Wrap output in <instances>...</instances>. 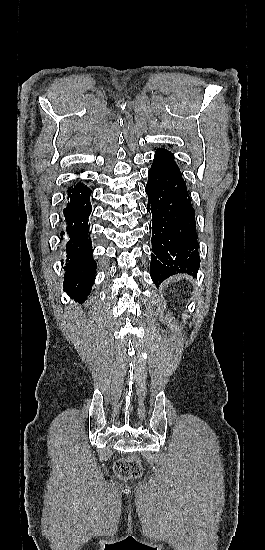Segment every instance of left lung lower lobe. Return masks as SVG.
I'll return each instance as SVG.
<instances>
[{
    "label": "left lung lower lobe",
    "instance_id": "obj_1",
    "mask_svg": "<svg viewBox=\"0 0 265 550\" xmlns=\"http://www.w3.org/2000/svg\"><path fill=\"white\" fill-rule=\"evenodd\" d=\"M152 213L150 275L159 285L177 273L196 274L200 266L195 211L174 155L157 149L145 188Z\"/></svg>",
    "mask_w": 265,
    "mask_h": 550
}]
</instances>
